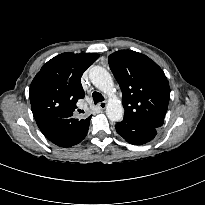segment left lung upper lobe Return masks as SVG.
Instances as JSON below:
<instances>
[{
    "mask_svg": "<svg viewBox=\"0 0 205 205\" xmlns=\"http://www.w3.org/2000/svg\"><path fill=\"white\" fill-rule=\"evenodd\" d=\"M108 60L122 90L124 118L161 127L170 95L163 70L144 54L131 50L114 52Z\"/></svg>",
    "mask_w": 205,
    "mask_h": 205,
    "instance_id": "obj_1",
    "label": "left lung upper lobe"
}]
</instances>
